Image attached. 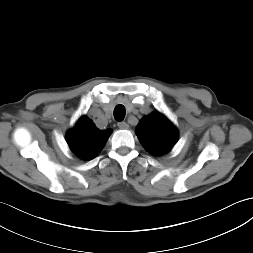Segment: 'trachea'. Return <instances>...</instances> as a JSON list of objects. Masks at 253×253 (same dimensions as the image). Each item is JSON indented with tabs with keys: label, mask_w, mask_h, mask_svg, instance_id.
<instances>
[{
	"label": "trachea",
	"mask_w": 253,
	"mask_h": 253,
	"mask_svg": "<svg viewBox=\"0 0 253 253\" xmlns=\"http://www.w3.org/2000/svg\"><path fill=\"white\" fill-rule=\"evenodd\" d=\"M114 118L117 121H123L125 118V107L123 105H117L114 109Z\"/></svg>",
	"instance_id": "1"
}]
</instances>
